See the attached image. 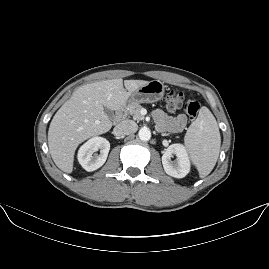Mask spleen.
Segmentation results:
<instances>
[{
    "label": "spleen",
    "mask_w": 269,
    "mask_h": 269,
    "mask_svg": "<svg viewBox=\"0 0 269 269\" xmlns=\"http://www.w3.org/2000/svg\"><path fill=\"white\" fill-rule=\"evenodd\" d=\"M184 142L199 176L206 177L217 162L221 145L218 124L207 107L200 108L197 119L187 130Z\"/></svg>",
    "instance_id": "1"
}]
</instances>
